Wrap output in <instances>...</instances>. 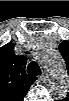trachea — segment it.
Returning <instances> with one entry per match:
<instances>
[{
    "mask_svg": "<svg viewBox=\"0 0 69 101\" xmlns=\"http://www.w3.org/2000/svg\"><path fill=\"white\" fill-rule=\"evenodd\" d=\"M28 73L32 74V75H40L41 74V69L39 67V65L32 61L28 67H27Z\"/></svg>",
    "mask_w": 69,
    "mask_h": 101,
    "instance_id": "obj_1",
    "label": "trachea"
}]
</instances>
